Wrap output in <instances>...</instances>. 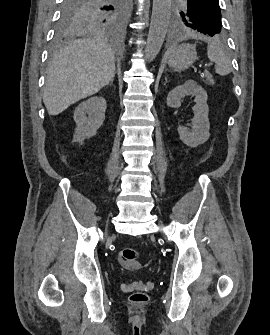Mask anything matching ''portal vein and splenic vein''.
<instances>
[{
    "mask_svg": "<svg viewBox=\"0 0 270 335\" xmlns=\"http://www.w3.org/2000/svg\"><path fill=\"white\" fill-rule=\"evenodd\" d=\"M215 64L213 63V62H211V63H206L205 64V68H211V67H213ZM205 72H207V70H205Z\"/></svg>",
    "mask_w": 270,
    "mask_h": 335,
    "instance_id": "1",
    "label": "portal vein and splenic vein"
}]
</instances>
